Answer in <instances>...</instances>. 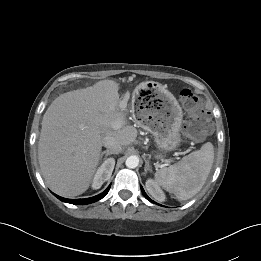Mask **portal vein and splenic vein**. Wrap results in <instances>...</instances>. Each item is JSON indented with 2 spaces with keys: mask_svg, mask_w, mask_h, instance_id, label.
Wrapping results in <instances>:
<instances>
[{
  "mask_svg": "<svg viewBox=\"0 0 261 261\" xmlns=\"http://www.w3.org/2000/svg\"><path fill=\"white\" fill-rule=\"evenodd\" d=\"M112 128H113L114 130H118V129L121 128V124H120V123H114V124L112 125Z\"/></svg>",
  "mask_w": 261,
  "mask_h": 261,
  "instance_id": "1",
  "label": "portal vein and splenic vein"
}]
</instances>
